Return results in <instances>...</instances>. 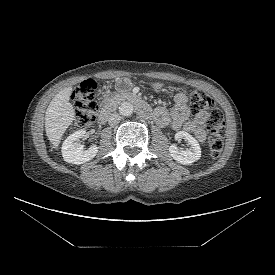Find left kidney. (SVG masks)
Returning <instances> with one entry per match:
<instances>
[{
  "mask_svg": "<svg viewBox=\"0 0 275 275\" xmlns=\"http://www.w3.org/2000/svg\"><path fill=\"white\" fill-rule=\"evenodd\" d=\"M176 140L185 139L189 148L186 150H180L175 144L169 147V152L174 160L183 165H189L201 157V148L198 141L189 133L185 131H179L175 134Z\"/></svg>",
  "mask_w": 275,
  "mask_h": 275,
  "instance_id": "left-kidney-1",
  "label": "left kidney"
}]
</instances>
